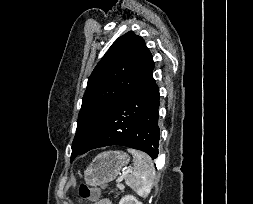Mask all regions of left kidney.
Returning a JSON list of instances; mask_svg holds the SVG:
<instances>
[{
	"mask_svg": "<svg viewBox=\"0 0 253 204\" xmlns=\"http://www.w3.org/2000/svg\"><path fill=\"white\" fill-rule=\"evenodd\" d=\"M119 204H143L142 202L138 201L136 197L133 195H125L120 200Z\"/></svg>",
	"mask_w": 253,
	"mask_h": 204,
	"instance_id": "left-kidney-1",
	"label": "left kidney"
}]
</instances>
